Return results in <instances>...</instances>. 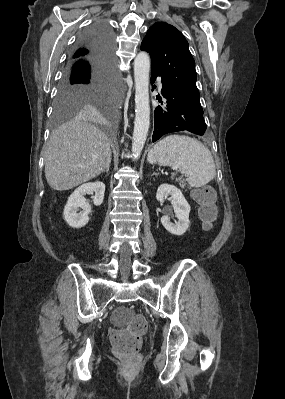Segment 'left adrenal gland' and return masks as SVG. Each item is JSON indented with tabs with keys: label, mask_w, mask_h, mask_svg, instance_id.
<instances>
[{
	"label": "left adrenal gland",
	"mask_w": 285,
	"mask_h": 399,
	"mask_svg": "<svg viewBox=\"0 0 285 399\" xmlns=\"http://www.w3.org/2000/svg\"><path fill=\"white\" fill-rule=\"evenodd\" d=\"M152 176H156V177H157V176H158V174H157V173H155V172H153V173H152Z\"/></svg>",
	"instance_id": "left-adrenal-gland-1"
}]
</instances>
